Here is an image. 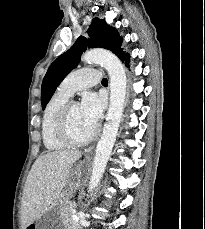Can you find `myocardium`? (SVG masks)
<instances>
[{
	"label": "myocardium",
	"instance_id": "myocardium-1",
	"mask_svg": "<svg viewBox=\"0 0 205 229\" xmlns=\"http://www.w3.org/2000/svg\"><path fill=\"white\" fill-rule=\"evenodd\" d=\"M75 105H78L76 101L68 100L62 106L59 111L55 127L57 138L67 146L73 147L83 146L90 143L97 136L98 133V127L95 125L92 132L84 139H76L71 135L69 129V116L72 107Z\"/></svg>",
	"mask_w": 205,
	"mask_h": 229
}]
</instances>
